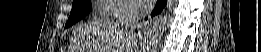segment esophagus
Masks as SVG:
<instances>
[{"label": "esophagus", "instance_id": "34e87169", "mask_svg": "<svg viewBox=\"0 0 261 52\" xmlns=\"http://www.w3.org/2000/svg\"><path fill=\"white\" fill-rule=\"evenodd\" d=\"M151 23V19L149 18L148 21L146 22H140V23H137L134 27H133V33L136 35V36H140L141 37V32H145L146 29H148L149 25Z\"/></svg>", "mask_w": 261, "mask_h": 52}]
</instances>
